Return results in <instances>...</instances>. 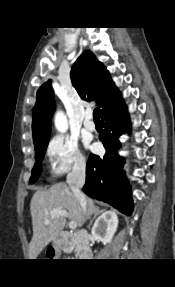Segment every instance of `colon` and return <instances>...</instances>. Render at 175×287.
Returning a JSON list of instances; mask_svg holds the SVG:
<instances>
[{
	"label": "colon",
	"instance_id": "colon-1",
	"mask_svg": "<svg viewBox=\"0 0 175 287\" xmlns=\"http://www.w3.org/2000/svg\"><path fill=\"white\" fill-rule=\"evenodd\" d=\"M49 254H50V256H54L55 255V250L54 249H50L49 250Z\"/></svg>",
	"mask_w": 175,
	"mask_h": 287
}]
</instances>
